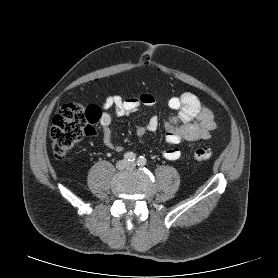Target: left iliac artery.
Listing matches in <instances>:
<instances>
[{"label":"left iliac artery","instance_id":"44dca946","mask_svg":"<svg viewBox=\"0 0 278 278\" xmlns=\"http://www.w3.org/2000/svg\"><path fill=\"white\" fill-rule=\"evenodd\" d=\"M146 163H147V160H146V158L143 157V156H140V157L137 159V164H138L139 166H144V165H146Z\"/></svg>","mask_w":278,"mask_h":278}]
</instances>
